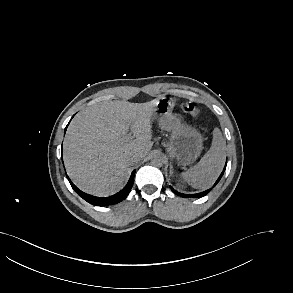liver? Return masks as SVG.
<instances>
[{
  "mask_svg": "<svg viewBox=\"0 0 293 293\" xmlns=\"http://www.w3.org/2000/svg\"><path fill=\"white\" fill-rule=\"evenodd\" d=\"M159 99L146 103L107 101L80 111L70 123L63 145L72 181L83 191L108 196L125 180L127 158L145 157L153 146L151 119ZM129 129L134 138H127Z\"/></svg>",
  "mask_w": 293,
  "mask_h": 293,
  "instance_id": "obj_1",
  "label": "liver"
}]
</instances>
